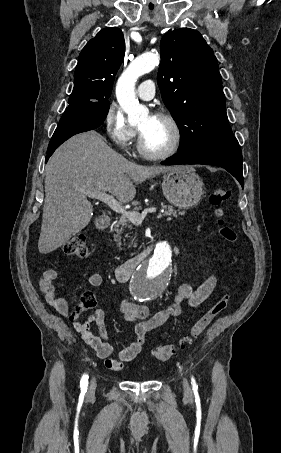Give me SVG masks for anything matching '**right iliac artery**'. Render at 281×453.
Here are the masks:
<instances>
[{
	"label": "right iliac artery",
	"instance_id": "right-iliac-artery-1",
	"mask_svg": "<svg viewBox=\"0 0 281 453\" xmlns=\"http://www.w3.org/2000/svg\"><path fill=\"white\" fill-rule=\"evenodd\" d=\"M88 375L87 374H84L81 378V381H80V387H81V391H87V386H88Z\"/></svg>",
	"mask_w": 281,
	"mask_h": 453
}]
</instances>
